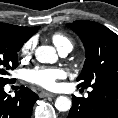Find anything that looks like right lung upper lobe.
Masks as SVG:
<instances>
[{"instance_id":"1","label":"right lung upper lobe","mask_w":118,"mask_h":118,"mask_svg":"<svg viewBox=\"0 0 118 118\" xmlns=\"http://www.w3.org/2000/svg\"><path fill=\"white\" fill-rule=\"evenodd\" d=\"M0 29L10 31L28 40L31 36H33L37 32V30L39 29V26L21 27V26L6 24V23H0Z\"/></svg>"}]
</instances>
